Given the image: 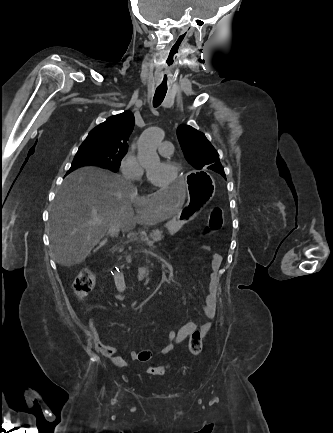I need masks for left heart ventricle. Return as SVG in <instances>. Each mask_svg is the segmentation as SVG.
<instances>
[{
    "mask_svg": "<svg viewBox=\"0 0 333 433\" xmlns=\"http://www.w3.org/2000/svg\"><path fill=\"white\" fill-rule=\"evenodd\" d=\"M147 169L153 174L152 180L159 184L168 183L173 177V170L160 160L148 165Z\"/></svg>",
    "mask_w": 333,
    "mask_h": 433,
    "instance_id": "left-heart-ventricle-1",
    "label": "left heart ventricle"
}]
</instances>
